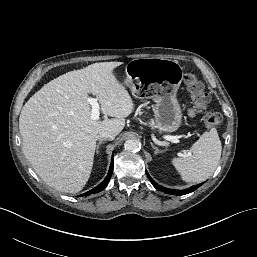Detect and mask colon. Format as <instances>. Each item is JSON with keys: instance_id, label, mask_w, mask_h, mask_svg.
Here are the masks:
<instances>
[{"instance_id": "1", "label": "colon", "mask_w": 257, "mask_h": 257, "mask_svg": "<svg viewBox=\"0 0 257 257\" xmlns=\"http://www.w3.org/2000/svg\"><path fill=\"white\" fill-rule=\"evenodd\" d=\"M185 84L190 93L194 107L204 112L203 123L206 128H216L222 122V116L217 112H206L209 103V96L204 89L203 83L194 75L186 74L184 77Z\"/></svg>"}]
</instances>
